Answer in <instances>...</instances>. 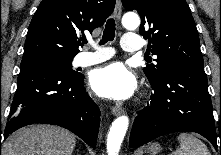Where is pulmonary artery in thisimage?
<instances>
[{
    "instance_id": "1",
    "label": "pulmonary artery",
    "mask_w": 221,
    "mask_h": 155,
    "mask_svg": "<svg viewBox=\"0 0 221 155\" xmlns=\"http://www.w3.org/2000/svg\"><path fill=\"white\" fill-rule=\"evenodd\" d=\"M95 49L93 52H81L74 59L75 66H90L103 62L113 55V51L109 48L98 47L95 43H91ZM122 48L127 52H137L142 48L141 39L137 34L127 33L122 37Z\"/></svg>"
}]
</instances>
